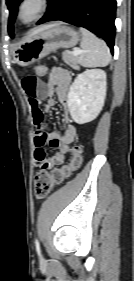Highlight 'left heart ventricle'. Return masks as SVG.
<instances>
[{"label":"left heart ventricle","mask_w":134,"mask_h":281,"mask_svg":"<svg viewBox=\"0 0 134 281\" xmlns=\"http://www.w3.org/2000/svg\"><path fill=\"white\" fill-rule=\"evenodd\" d=\"M35 8H36L35 4L27 5L23 10V18L29 19L33 15Z\"/></svg>","instance_id":"left-heart-ventricle-1"}]
</instances>
